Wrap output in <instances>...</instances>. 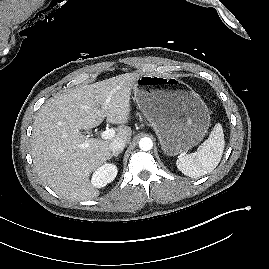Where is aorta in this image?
<instances>
[{
  "instance_id": "aorta-1",
  "label": "aorta",
  "mask_w": 269,
  "mask_h": 269,
  "mask_svg": "<svg viewBox=\"0 0 269 269\" xmlns=\"http://www.w3.org/2000/svg\"><path fill=\"white\" fill-rule=\"evenodd\" d=\"M139 147L143 151H149L153 147V142L148 137L141 138L139 141Z\"/></svg>"
}]
</instances>
